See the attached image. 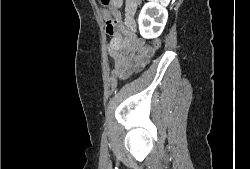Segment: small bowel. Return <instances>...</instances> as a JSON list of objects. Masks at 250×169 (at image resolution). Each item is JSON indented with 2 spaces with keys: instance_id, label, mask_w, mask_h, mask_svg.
I'll list each match as a JSON object with an SVG mask.
<instances>
[{
  "instance_id": "1",
  "label": "small bowel",
  "mask_w": 250,
  "mask_h": 169,
  "mask_svg": "<svg viewBox=\"0 0 250 169\" xmlns=\"http://www.w3.org/2000/svg\"><path fill=\"white\" fill-rule=\"evenodd\" d=\"M120 6H112L107 14L108 22L120 18ZM125 23L131 27L132 17L127 15ZM153 53L152 48L140 45L134 36L126 35L122 38L118 33L110 41L109 54L113 60V75L120 79L128 77V72H134V67H143Z\"/></svg>"
}]
</instances>
